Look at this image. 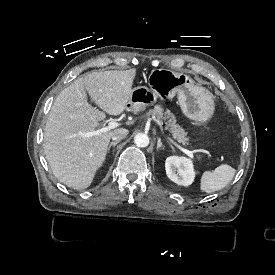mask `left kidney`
Wrapping results in <instances>:
<instances>
[{
    "mask_svg": "<svg viewBox=\"0 0 275 275\" xmlns=\"http://www.w3.org/2000/svg\"><path fill=\"white\" fill-rule=\"evenodd\" d=\"M165 170L167 177L178 185L189 186L195 178L193 163L186 157H168L165 161Z\"/></svg>",
    "mask_w": 275,
    "mask_h": 275,
    "instance_id": "1",
    "label": "left kidney"
}]
</instances>
